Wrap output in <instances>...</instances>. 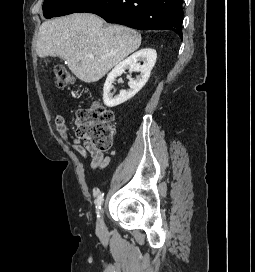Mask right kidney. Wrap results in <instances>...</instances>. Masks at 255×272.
Instances as JSON below:
<instances>
[{
	"label": "right kidney",
	"mask_w": 255,
	"mask_h": 272,
	"mask_svg": "<svg viewBox=\"0 0 255 272\" xmlns=\"http://www.w3.org/2000/svg\"><path fill=\"white\" fill-rule=\"evenodd\" d=\"M157 53L154 49L144 48L129 56L124 61L120 62L107 76L103 88V101L108 107L118 106L136 95L142 87L146 84L150 77L151 70L156 63ZM138 61H143L141 65ZM129 68V72L138 71L140 76L136 80L131 79L129 82L130 89L128 91L122 90L118 96L110 93L112 83L125 70Z\"/></svg>",
	"instance_id": "1"
}]
</instances>
